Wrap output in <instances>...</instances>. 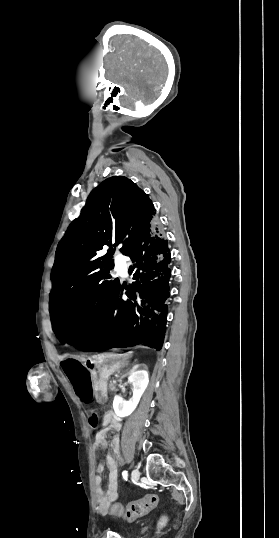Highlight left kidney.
<instances>
[{"label": "left kidney", "instance_id": "1", "mask_svg": "<svg viewBox=\"0 0 279 538\" xmlns=\"http://www.w3.org/2000/svg\"><path fill=\"white\" fill-rule=\"evenodd\" d=\"M128 382L131 384L133 390V396L129 402H125L121 396H114L113 410L119 418L130 416L135 408H137L140 398L149 384L147 370H135V372H131Z\"/></svg>", "mask_w": 279, "mask_h": 538}]
</instances>
